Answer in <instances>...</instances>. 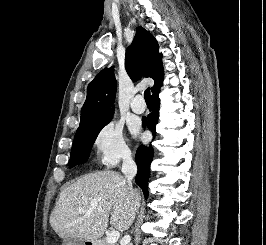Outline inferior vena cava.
Returning a JSON list of instances; mask_svg holds the SVG:
<instances>
[{"instance_id": "1", "label": "inferior vena cava", "mask_w": 266, "mask_h": 245, "mask_svg": "<svg viewBox=\"0 0 266 245\" xmlns=\"http://www.w3.org/2000/svg\"><path fill=\"white\" fill-rule=\"evenodd\" d=\"M121 171L128 183V187L131 191L130 195H132L133 197L134 191H133L132 179H134L137 173V165L135 161H133L131 155H125ZM124 239L125 243H130L131 241L129 235H127V237H124Z\"/></svg>"}]
</instances>
